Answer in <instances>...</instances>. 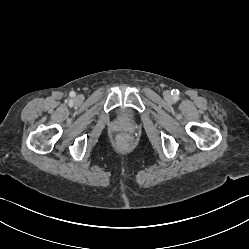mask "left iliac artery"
<instances>
[{
	"mask_svg": "<svg viewBox=\"0 0 249 249\" xmlns=\"http://www.w3.org/2000/svg\"><path fill=\"white\" fill-rule=\"evenodd\" d=\"M175 94H179V91L178 90H173Z\"/></svg>",
	"mask_w": 249,
	"mask_h": 249,
	"instance_id": "1",
	"label": "left iliac artery"
}]
</instances>
